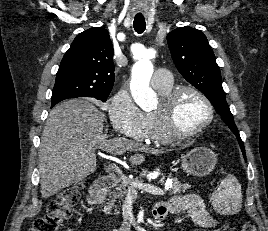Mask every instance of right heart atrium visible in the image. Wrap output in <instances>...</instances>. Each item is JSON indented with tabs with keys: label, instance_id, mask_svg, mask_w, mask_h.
I'll return each mask as SVG.
<instances>
[{
	"label": "right heart atrium",
	"instance_id": "1",
	"mask_svg": "<svg viewBox=\"0 0 268 231\" xmlns=\"http://www.w3.org/2000/svg\"><path fill=\"white\" fill-rule=\"evenodd\" d=\"M108 116L112 128L119 134L139 142L147 140L144 113L135 104L127 89L121 88L111 97Z\"/></svg>",
	"mask_w": 268,
	"mask_h": 231
}]
</instances>
